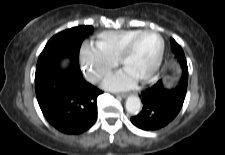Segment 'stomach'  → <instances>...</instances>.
Here are the masks:
<instances>
[{
	"mask_svg": "<svg viewBox=\"0 0 225 155\" xmlns=\"http://www.w3.org/2000/svg\"><path fill=\"white\" fill-rule=\"evenodd\" d=\"M164 84L168 88H171V87L175 86V84H176L175 76L171 75V74H165L164 75Z\"/></svg>",
	"mask_w": 225,
	"mask_h": 155,
	"instance_id": "stomach-1",
	"label": "stomach"
}]
</instances>
